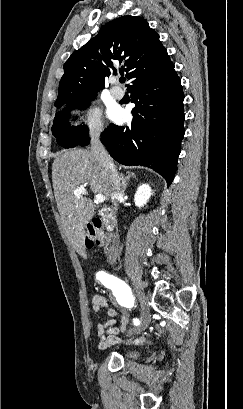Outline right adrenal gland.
Wrapping results in <instances>:
<instances>
[{"instance_id":"right-adrenal-gland-1","label":"right adrenal gland","mask_w":243,"mask_h":409,"mask_svg":"<svg viewBox=\"0 0 243 409\" xmlns=\"http://www.w3.org/2000/svg\"><path fill=\"white\" fill-rule=\"evenodd\" d=\"M133 177L136 178V176L133 173H128V175L126 177H124L123 174H121V188H122V192L126 191L127 188V182L129 181V179Z\"/></svg>"}]
</instances>
